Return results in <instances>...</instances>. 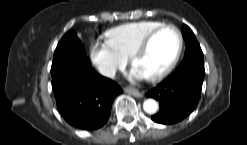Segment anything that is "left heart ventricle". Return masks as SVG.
Listing matches in <instances>:
<instances>
[{
  "mask_svg": "<svg viewBox=\"0 0 247 145\" xmlns=\"http://www.w3.org/2000/svg\"><path fill=\"white\" fill-rule=\"evenodd\" d=\"M178 47V37L173 29L160 31L148 49L139 55L134 67L149 77L166 67L173 59Z\"/></svg>",
  "mask_w": 247,
  "mask_h": 145,
  "instance_id": "b2bd125f",
  "label": "left heart ventricle"
}]
</instances>
